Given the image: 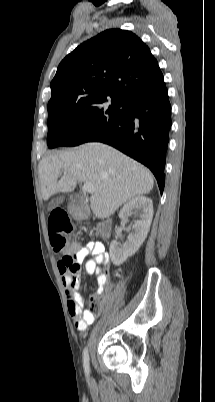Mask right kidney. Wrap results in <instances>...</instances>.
Segmentation results:
<instances>
[{
  "mask_svg": "<svg viewBox=\"0 0 215 402\" xmlns=\"http://www.w3.org/2000/svg\"><path fill=\"white\" fill-rule=\"evenodd\" d=\"M132 213L139 215L140 219L134 221L133 232L129 234L123 244L114 240L110 244L109 253L114 265L123 264L129 257L134 255L145 241L153 218V204L150 198L137 196L130 199L120 210L119 217L122 224L128 221Z\"/></svg>",
  "mask_w": 215,
  "mask_h": 402,
  "instance_id": "ca27d5eb",
  "label": "right kidney"
}]
</instances>
